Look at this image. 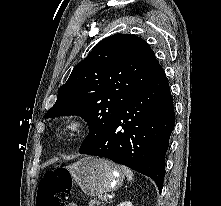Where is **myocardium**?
I'll return each mask as SVG.
<instances>
[{"mask_svg": "<svg viewBox=\"0 0 221 206\" xmlns=\"http://www.w3.org/2000/svg\"><path fill=\"white\" fill-rule=\"evenodd\" d=\"M83 121L77 117H70L64 120L56 129L58 140H64L79 135L83 129Z\"/></svg>", "mask_w": 221, "mask_h": 206, "instance_id": "myocardium-1", "label": "myocardium"}]
</instances>
